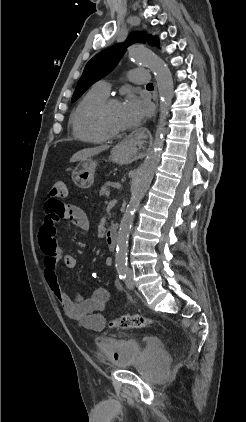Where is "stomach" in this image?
<instances>
[{"mask_svg": "<svg viewBox=\"0 0 246 422\" xmlns=\"http://www.w3.org/2000/svg\"><path fill=\"white\" fill-rule=\"evenodd\" d=\"M132 156L124 145H117L111 152L110 159L116 163H129ZM97 162L92 159L82 161L72 172V180L81 189L90 188L94 183Z\"/></svg>", "mask_w": 246, "mask_h": 422, "instance_id": "stomach-1", "label": "stomach"}]
</instances>
